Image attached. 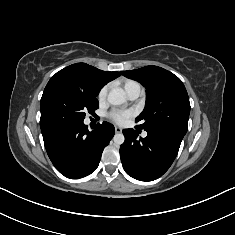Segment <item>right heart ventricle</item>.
<instances>
[{"instance_id":"e07e8e85","label":"right heart ventricle","mask_w":235,"mask_h":235,"mask_svg":"<svg viewBox=\"0 0 235 235\" xmlns=\"http://www.w3.org/2000/svg\"><path fill=\"white\" fill-rule=\"evenodd\" d=\"M123 86H124L126 93H127V91H129L133 88H140L141 89L140 84L134 80H126L124 82Z\"/></svg>"}]
</instances>
